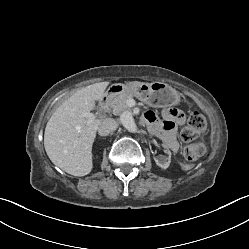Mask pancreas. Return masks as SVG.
<instances>
[{
    "instance_id": "cf45deb5",
    "label": "pancreas",
    "mask_w": 249,
    "mask_h": 249,
    "mask_svg": "<svg viewBox=\"0 0 249 249\" xmlns=\"http://www.w3.org/2000/svg\"><path fill=\"white\" fill-rule=\"evenodd\" d=\"M132 96L129 94H120L114 96L109 101V106L112 108L114 114H119L120 112L129 109L127 105V100Z\"/></svg>"
}]
</instances>
